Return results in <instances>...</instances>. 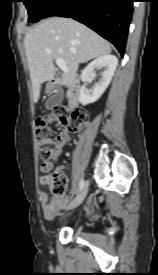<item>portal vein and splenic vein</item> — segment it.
I'll list each match as a JSON object with an SVG mask.
<instances>
[{"label": "portal vein and splenic vein", "mask_w": 158, "mask_h": 275, "mask_svg": "<svg viewBox=\"0 0 158 275\" xmlns=\"http://www.w3.org/2000/svg\"><path fill=\"white\" fill-rule=\"evenodd\" d=\"M57 66L64 72L68 71V68L66 67L65 61L61 58L56 59Z\"/></svg>", "instance_id": "1"}]
</instances>
